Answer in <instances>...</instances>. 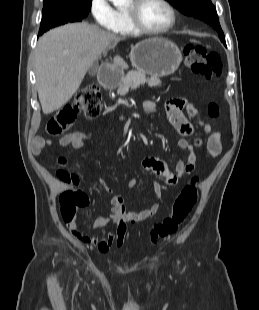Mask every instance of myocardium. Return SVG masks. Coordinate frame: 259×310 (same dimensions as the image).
<instances>
[{
    "label": "myocardium",
    "mask_w": 259,
    "mask_h": 310,
    "mask_svg": "<svg viewBox=\"0 0 259 310\" xmlns=\"http://www.w3.org/2000/svg\"><path fill=\"white\" fill-rule=\"evenodd\" d=\"M169 11L170 21L169 23L160 29H151L144 26L139 19V10L145 0H131L129 6L125 9V13L128 19V22L132 30L136 33L145 34V35H164L171 31L177 24V12L174 6L168 0H159Z\"/></svg>",
    "instance_id": "1"
}]
</instances>
